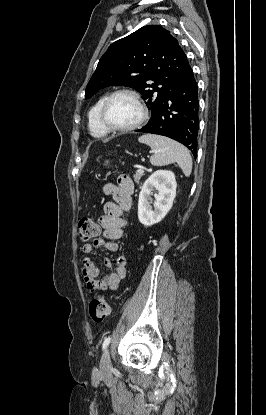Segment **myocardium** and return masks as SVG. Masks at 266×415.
Returning <instances> with one entry per match:
<instances>
[{"label":"myocardium","instance_id":"f54148a6","mask_svg":"<svg viewBox=\"0 0 266 415\" xmlns=\"http://www.w3.org/2000/svg\"><path fill=\"white\" fill-rule=\"evenodd\" d=\"M118 95H128V96L132 97L140 108L141 114H140L139 119L134 124H132L128 127L113 126L107 118V110H108L109 104ZM147 117H148V110H147V107L145 106L141 96L136 91H134L132 89H127V88H122V89L115 90L112 93H110L109 95H107V97L105 98V100L102 104L101 110H100L101 124L109 132H115V133H127V132H131L133 130H136L147 120Z\"/></svg>","mask_w":266,"mask_h":415}]
</instances>
